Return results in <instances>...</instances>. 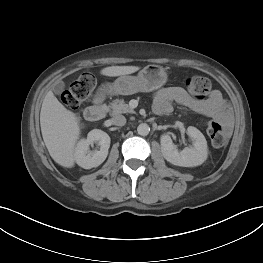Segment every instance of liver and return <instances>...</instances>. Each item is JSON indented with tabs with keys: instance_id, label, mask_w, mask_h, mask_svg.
<instances>
[{
	"instance_id": "1",
	"label": "liver",
	"mask_w": 263,
	"mask_h": 263,
	"mask_svg": "<svg viewBox=\"0 0 263 263\" xmlns=\"http://www.w3.org/2000/svg\"><path fill=\"white\" fill-rule=\"evenodd\" d=\"M139 69L138 66H110L103 68L100 73L115 77L132 74ZM40 126L52 159L63 167L72 168L75 164V145L80 134L79 119L58 101L52 91L43 100Z\"/></svg>"
}]
</instances>
